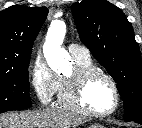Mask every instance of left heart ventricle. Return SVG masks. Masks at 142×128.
Returning <instances> with one entry per match:
<instances>
[{"instance_id":"left-heart-ventricle-1","label":"left heart ventricle","mask_w":142,"mask_h":128,"mask_svg":"<svg viewBox=\"0 0 142 128\" xmlns=\"http://www.w3.org/2000/svg\"><path fill=\"white\" fill-rule=\"evenodd\" d=\"M83 101L85 106L92 111L100 113L110 111L115 104V96L110 83L101 76L94 77L84 90Z\"/></svg>"}]
</instances>
